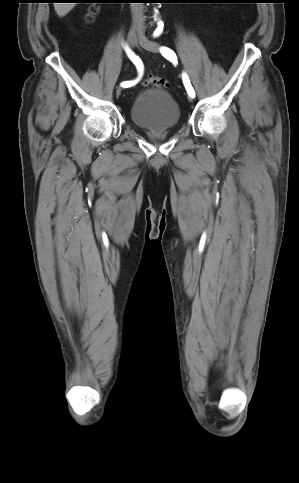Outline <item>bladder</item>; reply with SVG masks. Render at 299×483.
<instances>
[{
	"label": "bladder",
	"instance_id": "1",
	"mask_svg": "<svg viewBox=\"0 0 299 483\" xmlns=\"http://www.w3.org/2000/svg\"><path fill=\"white\" fill-rule=\"evenodd\" d=\"M132 122L144 130L163 131L175 127L180 111L175 99L163 88L140 92L131 107Z\"/></svg>",
	"mask_w": 299,
	"mask_h": 483
}]
</instances>
